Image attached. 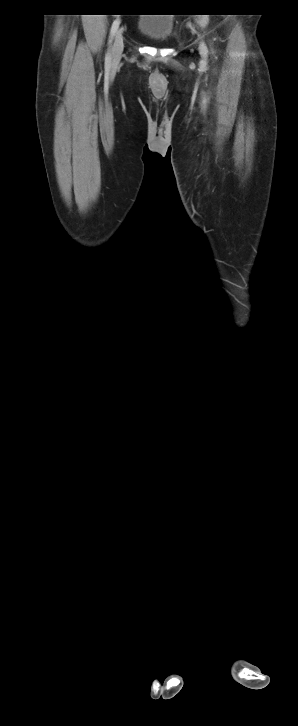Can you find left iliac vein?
<instances>
[{
	"mask_svg": "<svg viewBox=\"0 0 298 726\" xmlns=\"http://www.w3.org/2000/svg\"><path fill=\"white\" fill-rule=\"evenodd\" d=\"M199 51H200L202 58L205 60L207 57V47L204 43L200 44Z\"/></svg>",
	"mask_w": 298,
	"mask_h": 726,
	"instance_id": "left-iliac-vein-1",
	"label": "left iliac vein"
}]
</instances>
